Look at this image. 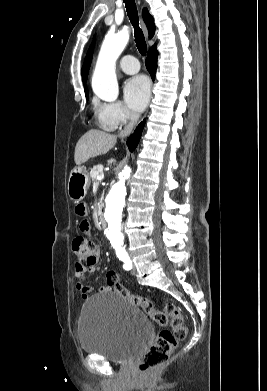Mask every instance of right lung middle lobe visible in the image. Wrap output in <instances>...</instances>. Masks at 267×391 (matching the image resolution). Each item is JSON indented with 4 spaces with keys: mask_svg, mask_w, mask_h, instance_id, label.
I'll list each match as a JSON object with an SVG mask.
<instances>
[{
    "mask_svg": "<svg viewBox=\"0 0 267 391\" xmlns=\"http://www.w3.org/2000/svg\"><path fill=\"white\" fill-rule=\"evenodd\" d=\"M85 93H86V98L88 99V92L86 91Z\"/></svg>",
    "mask_w": 267,
    "mask_h": 391,
    "instance_id": "obj_1",
    "label": "right lung middle lobe"
}]
</instances>
